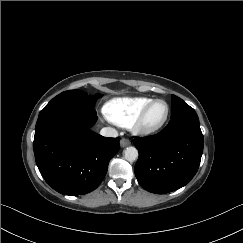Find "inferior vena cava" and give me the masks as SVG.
<instances>
[{
	"label": "inferior vena cava",
	"mask_w": 243,
	"mask_h": 243,
	"mask_svg": "<svg viewBox=\"0 0 243 243\" xmlns=\"http://www.w3.org/2000/svg\"><path fill=\"white\" fill-rule=\"evenodd\" d=\"M100 135H102L104 137H117L118 136V132L114 128L104 127V128L101 129Z\"/></svg>",
	"instance_id": "inferior-vena-cava-1"
}]
</instances>
